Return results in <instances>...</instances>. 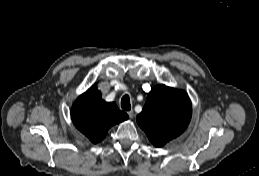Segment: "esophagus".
Returning <instances> with one entry per match:
<instances>
[{
  "instance_id": "1",
  "label": "esophagus",
  "mask_w": 259,
  "mask_h": 176,
  "mask_svg": "<svg viewBox=\"0 0 259 176\" xmlns=\"http://www.w3.org/2000/svg\"><path fill=\"white\" fill-rule=\"evenodd\" d=\"M128 116H129L130 119H133L134 118V111L133 110L128 111Z\"/></svg>"
}]
</instances>
